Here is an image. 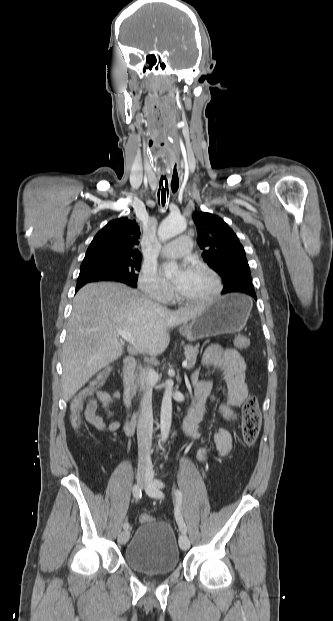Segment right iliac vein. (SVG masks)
Segmentation results:
<instances>
[{
  "mask_svg": "<svg viewBox=\"0 0 333 621\" xmlns=\"http://www.w3.org/2000/svg\"><path fill=\"white\" fill-rule=\"evenodd\" d=\"M148 470L143 467V466H139L137 469V474H136V479H137V483L143 487L146 483V479L148 476ZM130 537V530H125L123 532H121L118 536V542L121 545H124L127 543L128 539Z\"/></svg>",
  "mask_w": 333,
  "mask_h": 621,
  "instance_id": "right-iliac-vein-1",
  "label": "right iliac vein"
}]
</instances>
